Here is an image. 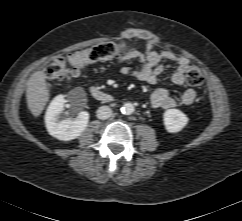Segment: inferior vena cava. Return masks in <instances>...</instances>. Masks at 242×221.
Returning a JSON list of instances; mask_svg holds the SVG:
<instances>
[{
	"label": "inferior vena cava",
	"mask_w": 242,
	"mask_h": 221,
	"mask_svg": "<svg viewBox=\"0 0 242 221\" xmlns=\"http://www.w3.org/2000/svg\"><path fill=\"white\" fill-rule=\"evenodd\" d=\"M112 115V109L109 106H101L97 110V117L99 119H108Z\"/></svg>",
	"instance_id": "inferior-vena-cava-1"
}]
</instances>
